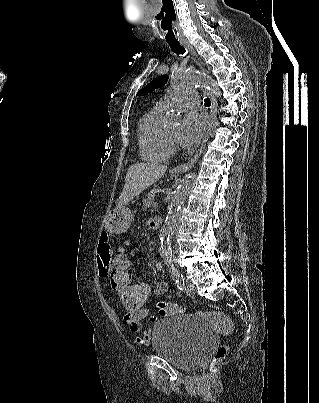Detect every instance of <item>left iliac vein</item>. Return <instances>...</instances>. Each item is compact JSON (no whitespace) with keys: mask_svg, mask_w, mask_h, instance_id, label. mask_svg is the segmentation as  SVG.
Returning a JSON list of instances; mask_svg holds the SVG:
<instances>
[{"mask_svg":"<svg viewBox=\"0 0 319 403\" xmlns=\"http://www.w3.org/2000/svg\"><path fill=\"white\" fill-rule=\"evenodd\" d=\"M184 290L189 295H194L196 292L195 286L191 282L185 283Z\"/></svg>","mask_w":319,"mask_h":403,"instance_id":"4c4485c4","label":"left iliac vein"}]
</instances>
